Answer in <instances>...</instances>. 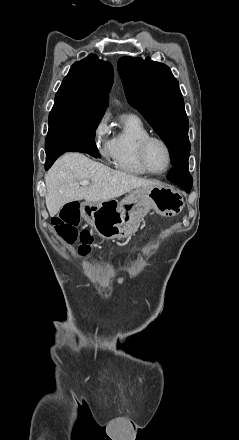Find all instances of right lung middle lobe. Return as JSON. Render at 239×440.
I'll use <instances>...</instances> for the list:
<instances>
[{"label": "right lung middle lobe", "mask_w": 239, "mask_h": 440, "mask_svg": "<svg viewBox=\"0 0 239 440\" xmlns=\"http://www.w3.org/2000/svg\"><path fill=\"white\" fill-rule=\"evenodd\" d=\"M103 114L52 108L45 140L46 155L76 146L95 145V130Z\"/></svg>", "instance_id": "obj_1"}]
</instances>
